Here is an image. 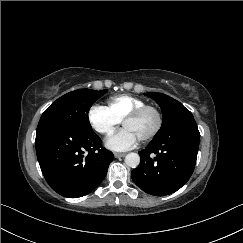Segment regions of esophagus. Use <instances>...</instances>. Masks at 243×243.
I'll list each match as a JSON object with an SVG mask.
<instances>
[{"instance_id":"34e87169","label":"esophagus","mask_w":243,"mask_h":243,"mask_svg":"<svg viewBox=\"0 0 243 243\" xmlns=\"http://www.w3.org/2000/svg\"><path fill=\"white\" fill-rule=\"evenodd\" d=\"M124 156H125V153H118V152L114 153L115 158H120V157H124Z\"/></svg>"}]
</instances>
